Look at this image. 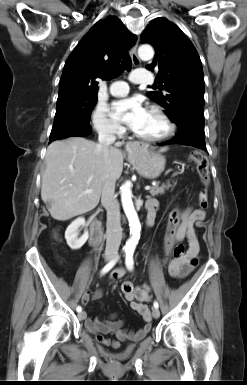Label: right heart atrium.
Returning a JSON list of instances; mask_svg holds the SVG:
<instances>
[{"instance_id": "obj_1", "label": "right heart atrium", "mask_w": 247, "mask_h": 385, "mask_svg": "<svg viewBox=\"0 0 247 385\" xmlns=\"http://www.w3.org/2000/svg\"><path fill=\"white\" fill-rule=\"evenodd\" d=\"M92 124L94 129L102 135L120 136L124 132V129L108 115L104 105H97L94 109Z\"/></svg>"}]
</instances>
